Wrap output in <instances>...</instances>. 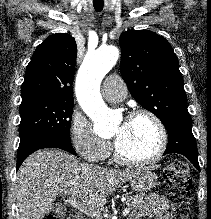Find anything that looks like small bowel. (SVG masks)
Here are the masks:
<instances>
[{
	"label": "small bowel",
	"mask_w": 211,
	"mask_h": 219,
	"mask_svg": "<svg viewBox=\"0 0 211 219\" xmlns=\"http://www.w3.org/2000/svg\"><path fill=\"white\" fill-rule=\"evenodd\" d=\"M144 216L154 219H171L165 198L158 195L150 196L143 206L132 213L131 219H141Z\"/></svg>",
	"instance_id": "c3829d8e"
}]
</instances>
